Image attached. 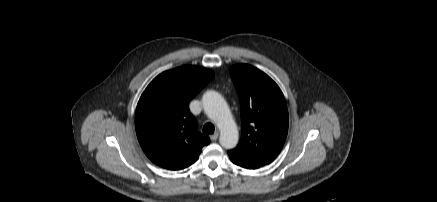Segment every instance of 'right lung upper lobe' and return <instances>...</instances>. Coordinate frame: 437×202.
I'll use <instances>...</instances> for the list:
<instances>
[{
    "label": "right lung upper lobe",
    "mask_w": 437,
    "mask_h": 202,
    "mask_svg": "<svg viewBox=\"0 0 437 202\" xmlns=\"http://www.w3.org/2000/svg\"><path fill=\"white\" fill-rule=\"evenodd\" d=\"M214 78L208 69L182 66L158 75L141 95L135 114L138 141L147 157L169 170L199 157L208 136L197 132L189 102Z\"/></svg>",
    "instance_id": "obj_1"
}]
</instances>
